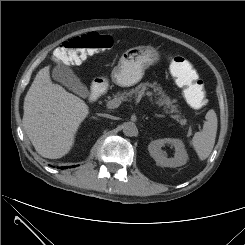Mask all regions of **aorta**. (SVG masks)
Instances as JSON below:
<instances>
[{"label": "aorta", "instance_id": "obj_1", "mask_svg": "<svg viewBox=\"0 0 245 245\" xmlns=\"http://www.w3.org/2000/svg\"><path fill=\"white\" fill-rule=\"evenodd\" d=\"M137 126L133 122H126L123 125V133L125 136H135L137 134Z\"/></svg>", "mask_w": 245, "mask_h": 245}]
</instances>
